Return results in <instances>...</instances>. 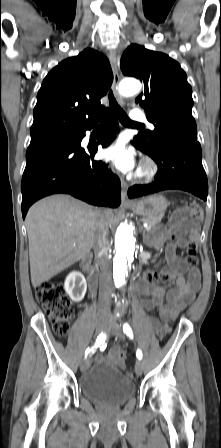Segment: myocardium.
<instances>
[{"mask_svg":"<svg viewBox=\"0 0 221 448\" xmlns=\"http://www.w3.org/2000/svg\"><path fill=\"white\" fill-rule=\"evenodd\" d=\"M158 173V165L151 158H146L142 164L140 171L137 174V179L140 181H151Z\"/></svg>","mask_w":221,"mask_h":448,"instance_id":"obj_1","label":"myocardium"}]
</instances>
